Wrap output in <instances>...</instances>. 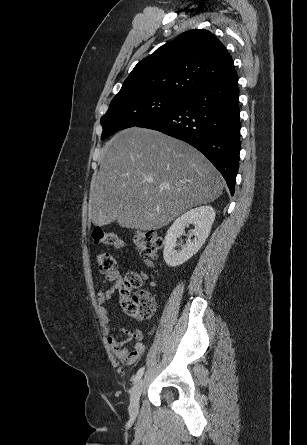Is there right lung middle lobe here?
Segmentation results:
<instances>
[{
	"label": "right lung middle lobe",
	"mask_w": 307,
	"mask_h": 445,
	"mask_svg": "<svg viewBox=\"0 0 307 445\" xmlns=\"http://www.w3.org/2000/svg\"><path fill=\"white\" fill-rule=\"evenodd\" d=\"M184 96L162 94L117 95L101 117L102 139L116 131L138 126L176 107Z\"/></svg>",
	"instance_id": "right-lung-middle-lobe-1"
}]
</instances>
